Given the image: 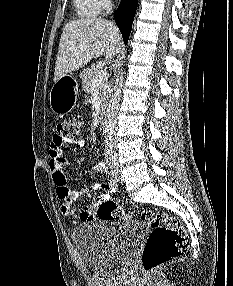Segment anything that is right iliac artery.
<instances>
[{"instance_id":"1","label":"right iliac artery","mask_w":233,"mask_h":286,"mask_svg":"<svg viewBox=\"0 0 233 286\" xmlns=\"http://www.w3.org/2000/svg\"><path fill=\"white\" fill-rule=\"evenodd\" d=\"M112 152H113L112 147L107 146L105 149V160L108 164H110V162H111Z\"/></svg>"}]
</instances>
